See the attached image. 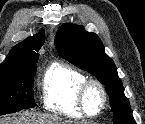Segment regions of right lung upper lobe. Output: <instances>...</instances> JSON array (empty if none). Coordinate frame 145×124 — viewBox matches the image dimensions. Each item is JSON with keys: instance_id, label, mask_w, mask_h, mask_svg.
<instances>
[{"instance_id": "obj_1", "label": "right lung upper lobe", "mask_w": 145, "mask_h": 124, "mask_svg": "<svg viewBox=\"0 0 145 124\" xmlns=\"http://www.w3.org/2000/svg\"><path fill=\"white\" fill-rule=\"evenodd\" d=\"M44 40L45 37L43 31H41L16 45L0 65V73H12L36 64L39 58V53L36 52L42 47Z\"/></svg>"}]
</instances>
